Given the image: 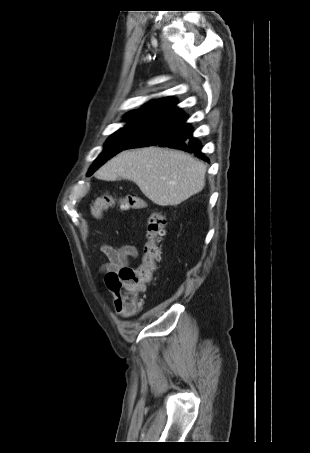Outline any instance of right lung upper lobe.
<instances>
[{
    "label": "right lung upper lobe",
    "instance_id": "1",
    "mask_svg": "<svg viewBox=\"0 0 310 453\" xmlns=\"http://www.w3.org/2000/svg\"><path fill=\"white\" fill-rule=\"evenodd\" d=\"M175 105L176 100L170 97L155 99L145 103L140 109L129 112L127 117L159 118Z\"/></svg>",
    "mask_w": 310,
    "mask_h": 453
}]
</instances>
